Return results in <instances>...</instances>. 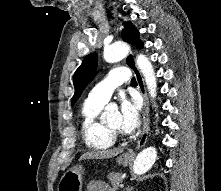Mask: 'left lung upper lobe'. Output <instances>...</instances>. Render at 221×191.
Masks as SVG:
<instances>
[{"instance_id":"1","label":"left lung upper lobe","mask_w":221,"mask_h":191,"mask_svg":"<svg viewBox=\"0 0 221 191\" xmlns=\"http://www.w3.org/2000/svg\"><path fill=\"white\" fill-rule=\"evenodd\" d=\"M124 25L125 28L122 32V39L141 49L143 43L139 38L138 30L130 21L125 22ZM97 63V54L91 53L83 59L81 65L75 71L73 78L75 93L72 97V105L79 99L83 90L96 76Z\"/></svg>"}]
</instances>
